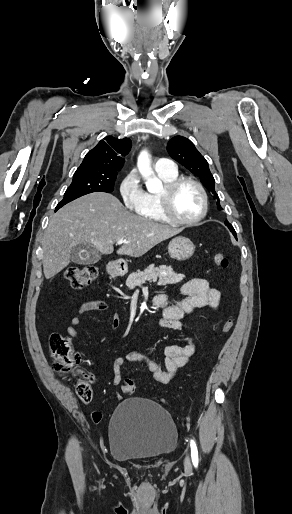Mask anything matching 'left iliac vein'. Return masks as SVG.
Instances as JSON below:
<instances>
[{
  "mask_svg": "<svg viewBox=\"0 0 292 514\" xmlns=\"http://www.w3.org/2000/svg\"><path fill=\"white\" fill-rule=\"evenodd\" d=\"M185 467L186 469H191V463H190V457H189V454L187 453L186 457H185Z\"/></svg>",
  "mask_w": 292,
  "mask_h": 514,
  "instance_id": "1",
  "label": "left iliac vein"
}]
</instances>
